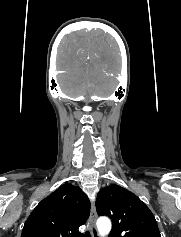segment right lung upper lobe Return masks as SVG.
I'll use <instances>...</instances> for the list:
<instances>
[{
	"label": "right lung upper lobe",
	"instance_id": "cb5924a9",
	"mask_svg": "<svg viewBox=\"0 0 181 237\" xmlns=\"http://www.w3.org/2000/svg\"><path fill=\"white\" fill-rule=\"evenodd\" d=\"M90 213V202L76 185L65 183L39 202L21 237H82L79 227Z\"/></svg>",
	"mask_w": 181,
	"mask_h": 237
}]
</instances>
